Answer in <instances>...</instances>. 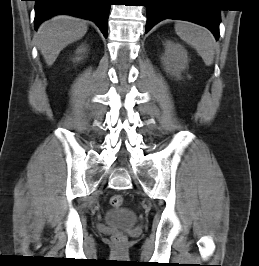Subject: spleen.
Returning <instances> with one entry per match:
<instances>
[{"mask_svg": "<svg viewBox=\"0 0 259 266\" xmlns=\"http://www.w3.org/2000/svg\"><path fill=\"white\" fill-rule=\"evenodd\" d=\"M177 35L196 49L206 66H211L215 55V40L211 32L194 23L179 21L175 24Z\"/></svg>", "mask_w": 259, "mask_h": 266, "instance_id": "3e777b00", "label": "spleen"}]
</instances>
